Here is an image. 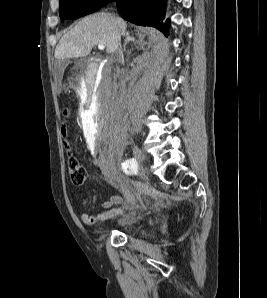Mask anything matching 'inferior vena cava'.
<instances>
[{"instance_id": "inferior-vena-cava-1", "label": "inferior vena cava", "mask_w": 267, "mask_h": 298, "mask_svg": "<svg viewBox=\"0 0 267 298\" xmlns=\"http://www.w3.org/2000/svg\"><path fill=\"white\" fill-rule=\"evenodd\" d=\"M119 40H120V37H119ZM115 57L122 58V51H121V47L120 46L115 51Z\"/></svg>"}]
</instances>
